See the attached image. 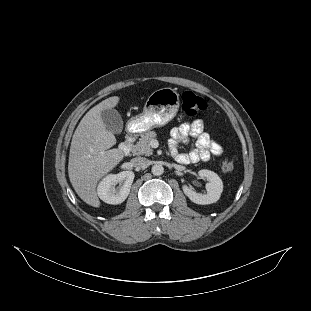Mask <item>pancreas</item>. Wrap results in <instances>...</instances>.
Returning <instances> with one entry per match:
<instances>
[{
  "instance_id": "pancreas-1",
  "label": "pancreas",
  "mask_w": 311,
  "mask_h": 311,
  "mask_svg": "<svg viewBox=\"0 0 311 311\" xmlns=\"http://www.w3.org/2000/svg\"><path fill=\"white\" fill-rule=\"evenodd\" d=\"M157 136L155 131H149L142 135L139 141L132 146L131 152L133 155H152L153 149L150 146V142Z\"/></svg>"
}]
</instances>
